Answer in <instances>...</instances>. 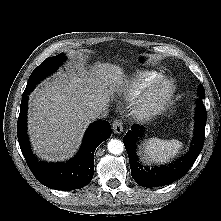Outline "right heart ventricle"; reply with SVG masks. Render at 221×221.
Listing matches in <instances>:
<instances>
[{"label":"right heart ventricle","instance_id":"e07e8e85","mask_svg":"<svg viewBox=\"0 0 221 221\" xmlns=\"http://www.w3.org/2000/svg\"><path fill=\"white\" fill-rule=\"evenodd\" d=\"M161 74L157 71H138L126 79L119 88V93L128 100L138 97L142 91Z\"/></svg>","mask_w":221,"mask_h":221}]
</instances>
